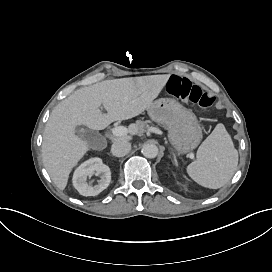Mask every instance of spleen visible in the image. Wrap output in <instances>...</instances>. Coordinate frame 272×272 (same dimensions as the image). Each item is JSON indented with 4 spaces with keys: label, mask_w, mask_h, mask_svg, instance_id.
Masks as SVG:
<instances>
[{
    "label": "spleen",
    "mask_w": 272,
    "mask_h": 272,
    "mask_svg": "<svg viewBox=\"0 0 272 272\" xmlns=\"http://www.w3.org/2000/svg\"><path fill=\"white\" fill-rule=\"evenodd\" d=\"M196 156L187 173L199 185L210 189L224 186L238 165V151L222 123L203 141Z\"/></svg>",
    "instance_id": "spleen-1"
}]
</instances>
